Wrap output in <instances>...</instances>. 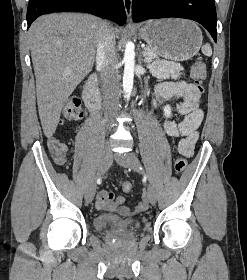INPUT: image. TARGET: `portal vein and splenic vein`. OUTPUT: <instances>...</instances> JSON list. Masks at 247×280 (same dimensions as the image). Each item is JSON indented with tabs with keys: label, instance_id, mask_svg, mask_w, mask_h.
<instances>
[{
	"label": "portal vein and splenic vein",
	"instance_id": "obj_1",
	"mask_svg": "<svg viewBox=\"0 0 247 280\" xmlns=\"http://www.w3.org/2000/svg\"><path fill=\"white\" fill-rule=\"evenodd\" d=\"M145 61H146V62H151V61H152V58H151L149 55H147V56L145 57Z\"/></svg>",
	"mask_w": 247,
	"mask_h": 280
}]
</instances>
